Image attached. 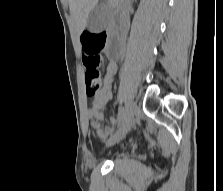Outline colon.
Here are the masks:
<instances>
[{
	"label": "colon",
	"mask_w": 223,
	"mask_h": 191,
	"mask_svg": "<svg viewBox=\"0 0 223 191\" xmlns=\"http://www.w3.org/2000/svg\"><path fill=\"white\" fill-rule=\"evenodd\" d=\"M81 41L82 60L86 70V93L88 96H94L99 91L102 81L101 51L106 43V34L104 32H85Z\"/></svg>",
	"instance_id": "obj_1"
}]
</instances>
